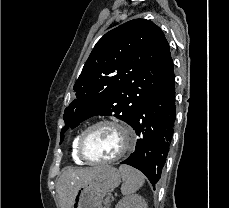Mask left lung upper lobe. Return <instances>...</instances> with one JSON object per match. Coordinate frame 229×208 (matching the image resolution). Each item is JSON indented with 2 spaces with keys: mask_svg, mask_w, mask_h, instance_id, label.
I'll list each match as a JSON object with an SVG mask.
<instances>
[{
  "mask_svg": "<svg viewBox=\"0 0 229 208\" xmlns=\"http://www.w3.org/2000/svg\"><path fill=\"white\" fill-rule=\"evenodd\" d=\"M175 79L169 44L152 21L134 19L95 45L74 85L76 99L64 111L62 132L94 115L130 124L147 99ZM64 136L61 135L60 143Z\"/></svg>",
  "mask_w": 229,
  "mask_h": 208,
  "instance_id": "1",
  "label": "left lung upper lobe"
}]
</instances>
